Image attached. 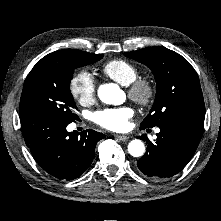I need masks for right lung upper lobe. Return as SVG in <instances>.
<instances>
[{"instance_id":"1","label":"right lung upper lobe","mask_w":221,"mask_h":221,"mask_svg":"<svg viewBox=\"0 0 221 221\" xmlns=\"http://www.w3.org/2000/svg\"><path fill=\"white\" fill-rule=\"evenodd\" d=\"M80 50H72V49H65V50H60V51H56L53 53H50L48 55H46L45 57H43L42 59H54V60H61L66 58L67 56L77 53Z\"/></svg>"}]
</instances>
